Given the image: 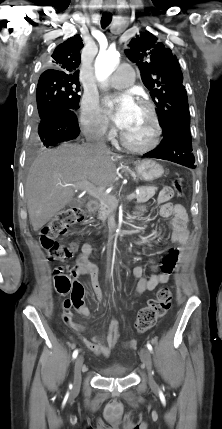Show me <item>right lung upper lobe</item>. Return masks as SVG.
<instances>
[{
  "label": "right lung upper lobe",
  "mask_w": 222,
  "mask_h": 429,
  "mask_svg": "<svg viewBox=\"0 0 222 429\" xmlns=\"http://www.w3.org/2000/svg\"><path fill=\"white\" fill-rule=\"evenodd\" d=\"M83 42L79 35H75L58 45L50 58L51 69L44 71L39 79L70 78L79 79L80 51Z\"/></svg>",
  "instance_id": "obj_1"
}]
</instances>
